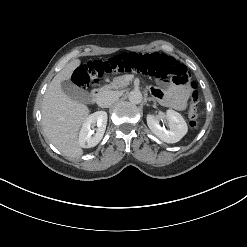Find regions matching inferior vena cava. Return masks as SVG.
Masks as SVG:
<instances>
[{
  "label": "inferior vena cava",
  "instance_id": "obj_1",
  "mask_svg": "<svg viewBox=\"0 0 247 247\" xmlns=\"http://www.w3.org/2000/svg\"><path fill=\"white\" fill-rule=\"evenodd\" d=\"M119 98V95L116 92L113 91H107L102 93L98 99L97 104L101 108H108L110 107L117 99Z\"/></svg>",
  "mask_w": 247,
  "mask_h": 247
}]
</instances>
